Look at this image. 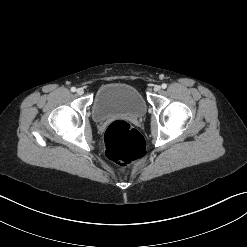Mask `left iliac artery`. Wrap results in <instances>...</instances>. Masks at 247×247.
I'll return each mask as SVG.
<instances>
[{"label":"left iliac artery","instance_id":"44dca946","mask_svg":"<svg viewBox=\"0 0 247 247\" xmlns=\"http://www.w3.org/2000/svg\"><path fill=\"white\" fill-rule=\"evenodd\" d=\"M161 87H162L163 89H165V88L167 87V84L163 83V84L161 85Z\"/></svg>","mask_w":247,"mask_h":247}]
</instances>
